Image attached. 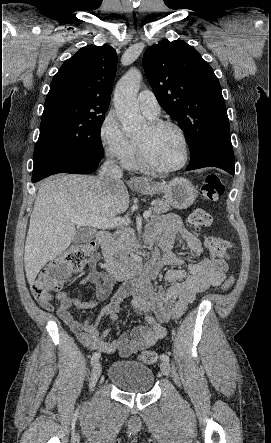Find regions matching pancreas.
Instances as JSON below:
<instances>
[{"instance_id":"pancreas-1","label":"pancreas","mask_w":271,"mask_h":443,"mask_svg":"<svg viewBox=\"0 0 271 443\" xmlns=\"http://www.w3.org/2000/svg\"><path fill=\"white\" fill-rule=\"evenodd\" d=\"M152 206H154L153 214H165V212L170 210L168 202H162V200H153ZM116 237L117 239H113V241L109 243L111 253H114L116 257L127 255L135 245V243H133V239H135L134 229L128 227V229L116 233Z\"/></svg>"}]
</instances>
